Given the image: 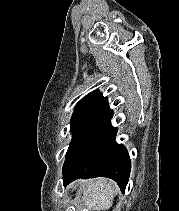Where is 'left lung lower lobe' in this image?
<instances>
[{
    "mask_svg": "<svg viewBox=\"0 0 179 211\" xmlns=\"http://www.w3.org/2000/svg\"><path fill=\"white\" fill-rule=\"evenodd\" d=\"M113 111L108 107L89 129L80 147L63 168V184L82 178L108 177L122 192L128 183L131 162L126 148L115 142L117 129L110 124Z\"/></svg>",
    "mask_w": 179,
    "mask_h": 211,
    "instance_id": "1",
    "label": "left lung lower lobe"
}]
</instances>
